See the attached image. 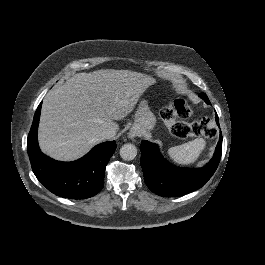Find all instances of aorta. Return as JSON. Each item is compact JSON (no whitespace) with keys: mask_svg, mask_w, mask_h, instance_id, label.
<instances>
[{"mask_svg":"<svg viewBox=\"0 0 265 265\" xmlns=\"http://www.w3.org/2000/svg\"><path fill=\"white\" fill-rule=\"evenodd\" d=\"M120 156L123 160H133L137 156V148L133 144H124L120 149Z\"/></svg>","mask_w":265,"mask_h":265,"instance_id":"1","label":"aorta"}]
</instances>
